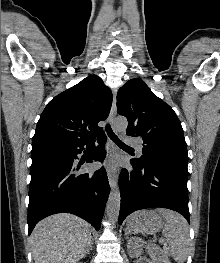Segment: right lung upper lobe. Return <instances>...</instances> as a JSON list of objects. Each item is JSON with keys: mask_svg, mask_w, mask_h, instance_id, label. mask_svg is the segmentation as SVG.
Listing matches in <instances>:
<instances>
[{"mask_svg": "<svg viewBox=\"0 0 220 263\" xmlns=\"http://www.w3.org/2000/svg\"><path fill=\"white\" fill-rule=\"evenodd\" d=\"M112 92L102 79L90 75L54 97L42 112L32 149L89 143L101 136L98 122L107 118Z\"/></svg>", "mask_w": 220, "mask_h": 263, "instance_id": "right-lung-upper-lobe-1", "label": "right lung upper lobe"}]
</instances>
